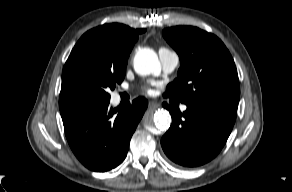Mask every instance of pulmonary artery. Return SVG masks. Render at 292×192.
<instances>
[{
  "mask_svg": "<svg viewBox=\"0 0 292 192\" xmlns=\"http://www.w3.org/2000/svg\"><path fill=\"white\" fill-rule=\"evenodd\" d=\"M159 58L162 64V68L166 73L174 71L179 63V57L177 53L166 48H161L159 50ZM180 109L181 111H185L187 106L182 105Z\"/></svg>",
  "mask_w": 292,
  "mask_h": 192,
  "instance_id": "pulmonary-artery-1",
  "label": "pulmonary artery"
}]
</instances>
